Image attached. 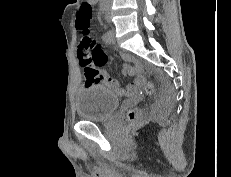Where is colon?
<instances>
[{
  "label": "colon",
  "mask_w": 231,
  "mask_h": 177,
  "mask_svg": "<svg viewBox=\"0 0 231 177\" xmlns=\"http://www.w3.org/2000/svg\"><path fill=\"white\" fill-rule=\"evenodd\" d=\"M92 13V6L86 2L81 5L77 16V26L82 35L78 49V57L81 65L85 68V76L87 78H92L97 75V70L93 65L100 66L107 60L106 54L102 51L100 45L95 41L91 33L90 21ZM145 91L148 94L152 93L153 86L151 83H146ZM138 116L137 111H131L129 113L131 120L137 119Z\"/></svg>",
  "instance_id": "5ec220e1"
}]
</instances>
